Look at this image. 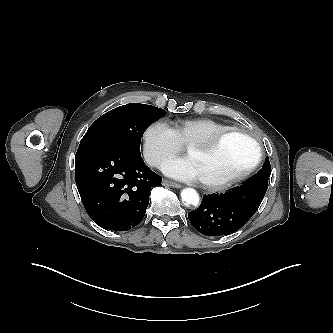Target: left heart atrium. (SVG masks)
Segmentation results:
<instances>
[{"mask_svg": "<svg viewBox=\"0 0 333 333\" xmlns=\"http://www.w3.org/2000/svg\"><path fill=\"white\" fill-rule=\"evenodd\" d=\"M163 171L168 176L182 181L195 182L200 180L195 164L189 156L168 161L163 166Z\"/></svg>", "mask_w": 333, "mask_h": 333, "instance_id": "39dd6f15", "label": "left heart atrium"}]
</instances>
